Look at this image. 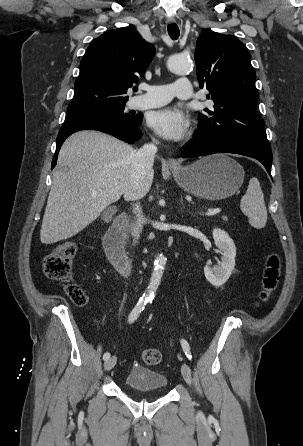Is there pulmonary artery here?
Listing matches in <instances>:
<instances>
[{
	"instance_id": "e3ab8cb5",
	"label": "pulmonary artery",
	"mask_w": 303,
	"mask_h": 446,
	"mask_svg": "<svg viewBox=\"0 0 303 446\" xmlns=\"http://www.w3.org/2000/svg\"><path fill=\"white\" fill-rule=\"evenodd\" d=\"M142 95L135 96L130 105L135 109H146L160 107L170 102L174 97L179 99H191L193 89L190 81L186 78L177 79L172 84L143 86Z\"/></svg>"
}]
</instances>
